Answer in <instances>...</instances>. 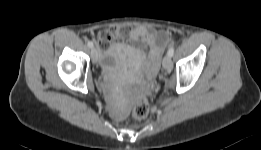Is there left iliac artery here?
Segmentation results:
<instances>
[{
    "instance_id": "1",
    "label": "left iliac artery",
    "mask_w": 261,
    "mask_h": 150,
    "mask_svg": "<svg viewBox=\"0 0 261 150\" xmlns=\"http://www.w3.org/2000/svg\"><path fill=\"white\" fill-rule=\"evenodd\" d=\"M167 54H168L170 57H172L173 54H174V48L171 47V48L168 50Z\"/></svg>"
}]
</instances>
